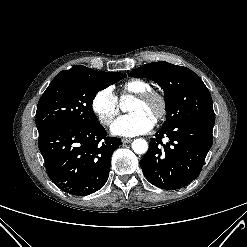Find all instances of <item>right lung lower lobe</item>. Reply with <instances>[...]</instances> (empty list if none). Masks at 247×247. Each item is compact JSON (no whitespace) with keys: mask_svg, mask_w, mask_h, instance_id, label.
Segmentation results:
<instances>
[{"mask_svg":"<svg viewBox=\"0 0 247 247\" xmlns=\"http://www.w3.org/2000/svg\"><path fill=\"white\" fill-rule=\"evenodd\" d=\"M100 123L62 125L39 132L38 146L52 181L64 192L85 196L101 189L119 138L106 137Z\"/></svg>","mask_w":247,"mask_h":247,"instance_id":"right-lung-lower-lobe-1","label":"right lung lower lobe"}]
</instances>
